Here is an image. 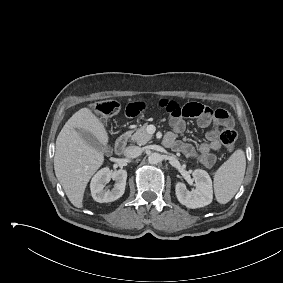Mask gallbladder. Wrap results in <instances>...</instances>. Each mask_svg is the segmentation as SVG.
I'll return each mask as SVG.
<instances>
[{"instance_id": "1", "label": "gallbladder", "mask_w": 283, "mask_h": 283, "mask_svg": "<svg viewBox=\"0 0 283 283\" xmlns=\"http://www.w3.org/2000/svg\"><path fill=\"white\" fill-rule=\"evenodd\" d=\"M78 132L89 145L96 148L98 151L106 153L110 152L108 146L101 144L93 134L83 130H78Z\"/></svg>"}]
</instances>
